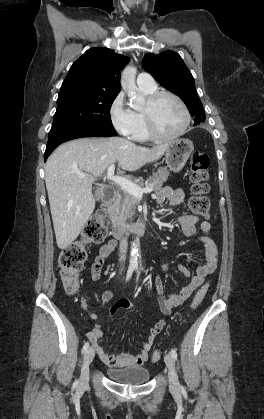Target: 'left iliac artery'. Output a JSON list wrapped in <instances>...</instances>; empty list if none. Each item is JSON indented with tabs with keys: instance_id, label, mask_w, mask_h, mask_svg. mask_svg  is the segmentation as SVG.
<instances>
[{
	"instance_id": "obj_1",
	"label": "left iliac artery",
	"mask_w": 264,
	"mask_h": 419,
	"mask_svg": "<svg viewBox=\"0 0 264 419\" xmlns=\"http://www.w3.org/2000/svg\"><path fill=\"white\" fill-rule=\"evenodd\" d=\"M171 355L173 356L174 359H177V352L175 349H171Z\"/></svg>"
}]
</instances>
